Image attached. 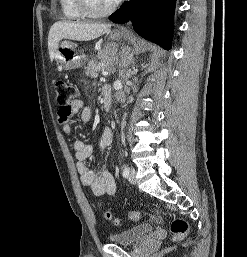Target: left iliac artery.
<instances>
[{
	"instance_id": "44dca946",
	"label": "left iliac artery",
	"mask_w": 247,
	"mask_h": 257,
	"mask_svg": "<svg viewBox=\"0 0 247 257\" xmlns=\"http://www.w3.org/2000/svg\"><path fill=\"white\" fill-rule=\"evenodd\" d=\"M128 174H129V167L126 165V166H124V168H123V172H122V175H123V177H127L128 176Z\"/></svg>"
}]
</instances>
